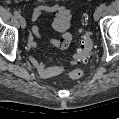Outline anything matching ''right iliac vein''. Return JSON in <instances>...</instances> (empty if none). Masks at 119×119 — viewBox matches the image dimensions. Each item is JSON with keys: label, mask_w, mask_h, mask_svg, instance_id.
Masks as SVG:
<instances>
[{"label": "right iliac vein", "mask_w": 119, "mask_h": 119, "mask_svg": "<svg viewBox=\"0 0 119 119\" xmlns=\"http://www.w3.org/2000/svg\"><path fill=\"white\" fill-rule=\"evenodd\" d=\"M19 22H20V25L22 28H25L26 27V20L24 17L20 16L19 17Z\"/></svg>", "instance_id": "1"}]
</instances>
